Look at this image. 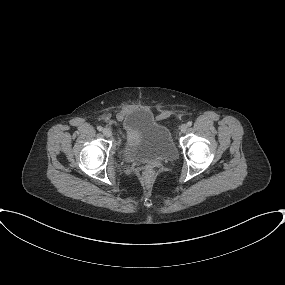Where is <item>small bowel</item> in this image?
<instances>
[{
    "label": "small bowel",
    "instance_id": "obj_1",
    "mask_svg": "<svg viewBox=\"0 0 285 285\" xmlns=\"http://www.w3.org/2000/svg\"><path fill=\"white\" fill-rule=\"evenodd\" d=\"M132 110V107L127 105V106H124L120 111L119 113L117 114V118L119 120H123Z\"/></svg>",
    "mask_w": 285,
    "mask_h": 285
}]
</instances>
